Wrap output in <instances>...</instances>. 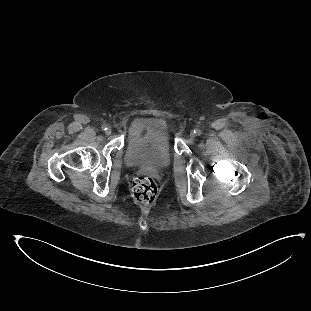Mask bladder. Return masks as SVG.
I'll use <instances>...</instances> for the list:
<instances>
[{
    "mask_svg": "<svg viewBox=\"0 0 311 311\" xmlns=\"http://www.w3.org/2000/svg\"><path fill=\"white\" fill-rule=\"evenodd\" d=\"M172 156V143L167 127L151 125L137 130L128 139L123 160L135 170L157 173L170 165Z\"/></svg>",
    "mask_w": 311,
    "mask_h": 311,
    "instance_id": "obj_1",
    "label": "bladder"
}]
</instances>
